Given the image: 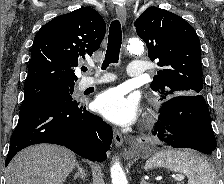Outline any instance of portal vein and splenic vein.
Returning a JSON list of instances; mask_svg holds the SVG:
<instances>
[{
  "label": "portal vein and splenic vein",
  "instance_id": "portal-vein-and-splenic-vein-1",
  "mask_svg": "<svg viewBox=\"0 0 224 184\" xmlns=\"http://www.w3.org/2000/svg\"><path fill=\"white\" fill-rule=\"evenodd\" d=\"M183 179H184V176H183V175H178V176L175 178L176 181H183Z\"/></svg>",
  "mask_w": 224,
  "mask_h": 184
}]
</instances>
